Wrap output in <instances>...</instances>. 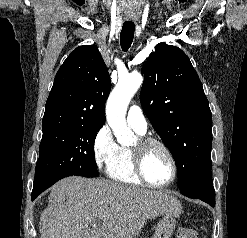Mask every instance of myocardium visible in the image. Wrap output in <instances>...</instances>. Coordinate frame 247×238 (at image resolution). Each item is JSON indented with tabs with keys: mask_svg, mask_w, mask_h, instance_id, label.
Returning a JSON list of instances; mask_svg holds the SVG:
<instances>
[{
	"mask_svg": "<svg viewBox=\"0 0 247 238\" xmlns=\"http://www.w3.org/2000/svg\"><path fill=\"white\" fill-rule=\"evenodd\" d=\"M153 146H157L161 148L166 153L171 163V167H172L171 177L168 181L164 183L151 182L147 178L145 171H144L145 155L147 151ZM132 153H133V163H134L135 172L137 176L139 177V179L144 184L150 187H153V188H164V187L171 185L175 181L177 177V173H178L177 162H176V159H175V156L172 150L163 141L157 138H154V137H141L137 141L136 145L132 148Z\"/></svg>",
	"mask_w": 247,
	"mask_h": 238,
	"instance_id": "myocardium-1",
	"label": "myocardium"
}]
</instances>
